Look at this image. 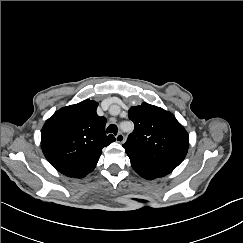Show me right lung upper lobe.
<instances>
[{
  "label": "right lung upper lobe",
  "instance_id": "1",
  "mask_svg": "<svg viewBox=\"0 0 243 243\" xmlns=\"http://www.w3.org/2000/svg\"><path fill=\"white\" fill-rule=\"evenodd\" d=\"M98 103L86 99L56 111L41 130V147L60 173L81 178L92 172L102 148L115 141L105 134L106 119L96 114Z\"/></svg>",
  "mask_w": 243,
  "mask_h": 243
}]
</instances>
